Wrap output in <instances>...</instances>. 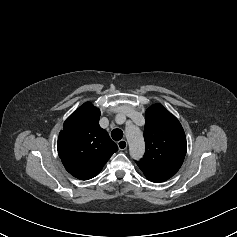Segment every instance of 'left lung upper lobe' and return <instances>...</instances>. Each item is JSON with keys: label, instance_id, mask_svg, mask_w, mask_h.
I'll list each match as a JSON object with an SVG mask.
<instances>
[{"label": "left lung upper lobe", "instance_id": "5c2ea615", "mask_svg": "<svg viewBox=\"0 0 237 237\" xmlns=\"http://www.w3.org/2000/svg\"><path fill=\"white\" fill-rule=\"evenodd\" d=\"M146 152L137 165L148 180L163 182L181 167L187 150L178 119L162 105H152L145 114Z\"/></svg>", "mask_w": 237, "mask_h": 237}]
</instances>
